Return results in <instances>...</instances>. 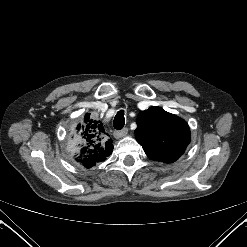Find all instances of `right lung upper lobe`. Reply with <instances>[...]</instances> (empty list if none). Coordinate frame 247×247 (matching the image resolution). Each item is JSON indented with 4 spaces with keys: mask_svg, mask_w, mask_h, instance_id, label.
<instances>
[{
    "mask_svg": "<svg viewBox=\"0 0 247 247\" xmlns=\"http://www.w3.org/2000/svg\"><path fill=\"white\" fill-rule=\"evenodd\" d=\"M78 137L74 142V159L82 166L91 168L106 160L112 151V140L108 138L103 123L84 116V121L77 127Z\"/></svg>",
    "mask_w": 247,
    "mask_h": 247,
    "instance_id": "cb5924a9",
    "label": "right lung upper lobe"
}]
</instances>
